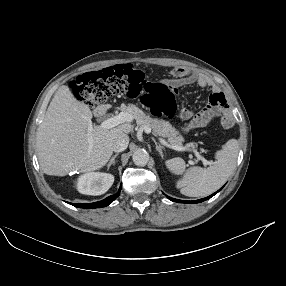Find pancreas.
<instances>
[{"label":"pancreas","mask_w":286,"mask_h":286,"mask_svg":"<svg viewBox=\"0 0 286 286\" xmlns=\"http://www.w3.org/2000/svg\"><path fill=\"white\" fill-rule=\"evenodd\" d=\"M121 110L130 114L140 127H150L153 129L155 135L166 138L170 144H182L183 137L179 135V132L172 127L168 121L151 118L148 114L133 104H130L127 107H122Z\"/></svg>","instance_id":"1"}]
</instances>
